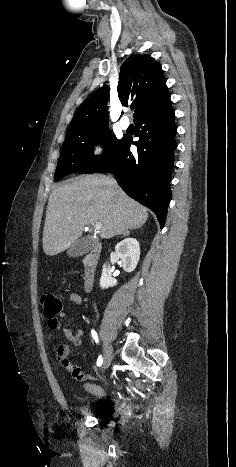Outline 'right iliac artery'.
<instances>
[{"label": "right iliac artery", "mask_w": 236, "mask_h": 467, "mask_svg": "<svg viewBox=\"0 0 236 467\" xmlns=\"http://www.w3.org/2000/svg\"><path fill=\"white\" fill-rule=\"evenodd\" d=\"M91 334H92V337H93V339L95 340V342L98 343V342H99V339H98V335H97L96 331H95V330H91ZM102 363H103V358H102V356L100 355V356L98 357V360H97V366H101Z\"/></svg>", "instance_id": "82829eb1"}]
</instances>
